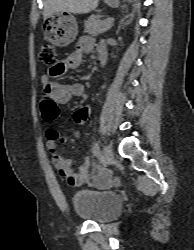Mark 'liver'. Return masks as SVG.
<instances>
[{"label":"liver","instance_id":"liver-1","mask_svg":"<svg viewBox=\"0 0 194 250\" xmlns=\"http://www.w3.org/2000/svg\"><path fill=\"white\" fill-rule=\"evenodd\" d=\"M99 0H46L44 3L43 18L46 20L55 12L84 14L93 11Z\"/></svg>","mask_w":194,"mask_h":250}]
</instances>
